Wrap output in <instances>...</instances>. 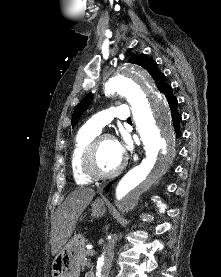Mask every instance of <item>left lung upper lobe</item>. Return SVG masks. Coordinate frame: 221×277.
Masks as SVG:
<instances>
[{"label":"left lung upper lobe","instance_id":"5c2ea615","mask_svg":"<svg viewBox=\"0 0 221 277\" xmlns=\"http://www.w3.org/2000/svg\"><path fill=\"white\" fill-rule=\"evenodd\" d=\"M129 62L138 64V65L142 66L144 69H146L149 72V74L152 76V78L155 80V83L160 92L163 93L165 91V89L169 86L166 83L165 75L157 69V63L155 61L151 60L150 58H148L147 56L133 55L129 59ZM91 99H92V94L89 93L75 108L73 115H72V126L73 127L77 123V120L79 119L81 114L89 106Z\"/></svg>","mask_w":221,"mask_h":277}]
</instances>
